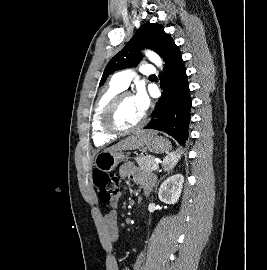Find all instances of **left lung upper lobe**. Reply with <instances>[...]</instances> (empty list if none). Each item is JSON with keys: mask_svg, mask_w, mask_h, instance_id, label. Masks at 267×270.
<instances>
[{"mask_svg": "<svg viewBox=\"0 0 267 270\" xmlns=\"http://www.w3.org/2000/svg\"><path fill=\"white\" fill-rule=\"evenodd\" d=\"M174 44L170 35L164 32L162 25L156 23L143 24L126 46L109 61L100 85L113 72L138 65L142 59L141 49H151L165 60Z\"/></svg>", "mask_w": 267, "mask_h": 270, "instance_id": "5c2ea615", "label": "left lung upper lobe"}]
</instances>
